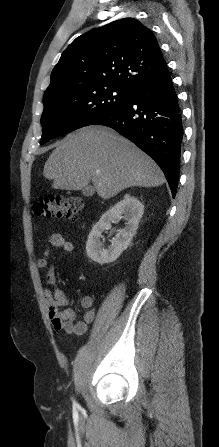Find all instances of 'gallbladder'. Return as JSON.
Returning <instances> with one entry per match:
<instances>
[{
    "label": "gallbladder",
    "instance_id": "obj_1",
    "mask_svg": "<svg viewBox=\"0 0 219 447\" xmlns=\"http://www.w3.org/2000/svg\"><path fill=\"white\" fill-rule=\"evenodd\" d=\"M82 194L86 197H90L94 194V189L90 186L82 189Z\"/></svg>",
    "mask_w": 219,
    "mask_h": 447
}]
</instances>
